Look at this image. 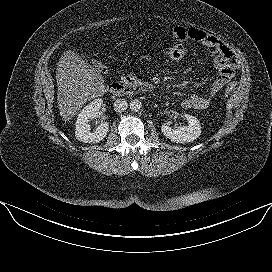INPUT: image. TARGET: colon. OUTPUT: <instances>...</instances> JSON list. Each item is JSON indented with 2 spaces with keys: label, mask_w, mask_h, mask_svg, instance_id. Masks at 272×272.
<instances>
[{
  "label": "colon",
  "mask_w": 272,
  "mask_h": 272,
  "mask_svg": "<svg viewBox=\"0 0 272 272\" xmlns=\"http://www.w3.org/2000/svg\"><path fill=\"white\" fill-rule=\"evenodd\" d=\"M164 55L166 58H168L172 62H180L187 58L188 56V50L187 48L179 43H174L167 45L164 48ZM237 88V84L232 82L230 83L224 92V97H226L228 94L232 93Z\"/></svg>",
  "instance_id": "5ec220e1"
}]
</instances>
